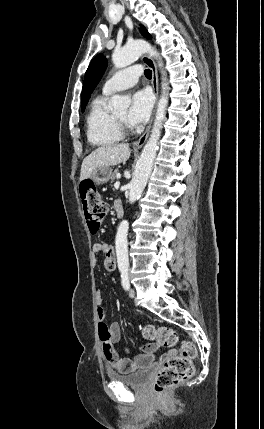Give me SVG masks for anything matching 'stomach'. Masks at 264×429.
Instances as JSON below:
<instances>
[{
    "label": "stomach",
    "mask_w": 264,
    "mask_h": 429,
    "mask_svg": "<svg viewBox=\"0 0 264 429\" xmlns=\"http://www.w3.org/2000/svg\"><path fill=\"white\" fill-rule=\"evenodd\" d=\"M112 176V168L109 166H103L98 168L91 176V180L96 184H104Z\"/></svg>",
    "instance_id": "stomach-1"
}]
</instances>
